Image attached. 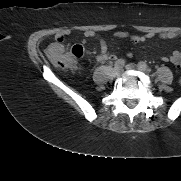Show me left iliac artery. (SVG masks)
Segmentation results:
<instances>
[{
	"mask_svg": "<svg viewBox=\"0 0 181 181\" xmlns=\"http://www.w3.org/2000/svg\"><path fill=\"white\" fill-rule=\"evenodd\" d=\"M138 66L142 69V70H147L148 66L145 62H139Z\"/></svg>",
	"mask_w": 181,
	"mask_h": 181,
	"instance_id": "obj_1",
	"label": "left iliac artery"
}]
</instances>
